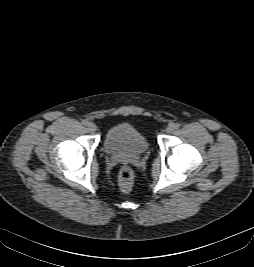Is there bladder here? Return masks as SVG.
Listing matches in <instances>:
<instances>
[{
    "mask_svg": "<svg viewBox=\"0 0 254 267\" xmlns=\"http://www.w3.org/2000/svg\"><path fill=\"white\" fill-rule=\"evenodd\" d=\"M103 147L108 154L138 156L148 150V141L136 127L124 122L107 130Z\"/></svg>",
    "mask_w": 254,
    "mask_h": 267,
    "instance_id": "obj_1",
    "label": "bladder"
}]
</instances>
